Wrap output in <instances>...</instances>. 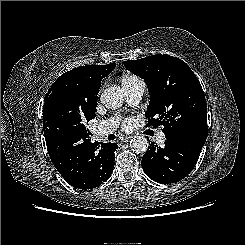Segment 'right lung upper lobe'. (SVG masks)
Masks as SVG:
<instances>
[{"label":"right lung upper lobe","mask_w":245,"mask_h":245,"mask_svg":"<svg viewBox=\"0 0 245 245\" xmlns=\"http://www.w3.org/2000/svg\"><path fill=\"white\" fill-rule=\"evenodd\" d=\"M116 67L88 65L61 75L44 98L43 130L46 141L66 140L76 145L91 134L85 123L95 117L102 78Z\"/></svg>","instance_id":"cb5924a9"}]
</instances>
